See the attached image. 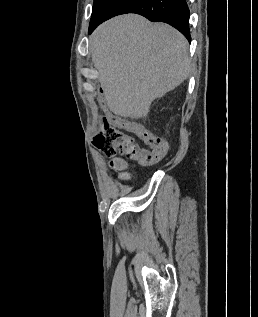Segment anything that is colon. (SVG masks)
I'll use <instances>...</instances> for the list:
<instances>
[{"instance_id": "1", "label": "colon", "mask_w": 258, "mask_h": 317, "mask_svg": "<svg viewBox=\"0 0 258 317\" xmlns=\"http://www.w3.org/2000/svg\"><path fill=\"white\" fill-rule=\"evenodd\" d=\"M119 119L114 114L103 118L101 131L95 138L96 147L106 153H119L126 159L136 160L143 165H154L163 159L161 151L141 148L131 135L121 130L116 125Z\"/></svg>"}]
</instances>
